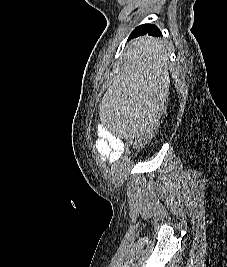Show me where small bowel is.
Wrapping results in <instances>:
<instances>
[{"label":"small bowel","mask_w":227,"mask_h":267,"mask_svg":"<svg viewBox=\"0 0 227 267\" xmlns=\"http://www.w3.org/2000/svg\"><path fill=\"white\" fill-rule=\"evenodd\" d=\"M125 147V139L117 137L105 130L101 132L100 138L95 143V149L100 154L101 161L115 162L117 161Z\"/></svg>","instance_id":"obj_1"}]
</instances>
